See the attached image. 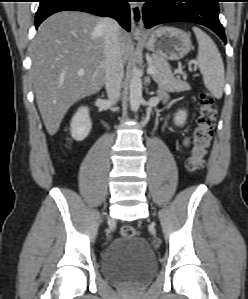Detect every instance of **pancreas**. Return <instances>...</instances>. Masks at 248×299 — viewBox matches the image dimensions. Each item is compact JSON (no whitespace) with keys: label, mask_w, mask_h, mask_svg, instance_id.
I'll list each match as a JSON object with an SVG mask.
<instances>
[{"label":"pancreas","mask_w":248,"mask_h":299,"mask_svg":"<svg viewBox=\"0 0 248 299\" xmlns=\"http://www.w3.org/2000/svg\"><path fill=\"white\" fill-rule=\"evenodd\" d=\"M150 66L156 71L152 74L154 81L162 88L171 92L185 91L190 88L189 84L179 77H174L169 63L158 55H152Z\"/></svg>","instance_id":"cf45deb5"}]
</instances>
